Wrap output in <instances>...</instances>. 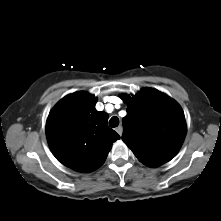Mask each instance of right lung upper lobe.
<instances>
[{
    "label": "right lung upper lobe",
    "mask_w": 221,
    "mask_h": 221,
    "mask_svg": "<svg viewBox=\"0 0 221 221\" xmlns=\"http://www.w3.org/2000/svg\"><path fill=\"white\" fill-rule=\"evenodd\" d=\"M96 103L95 96L75 92L60 100L47 119L46 136L53 154L78 172L99 168L120 138L108 127V114L95 109Z\"/></svg>",
    "instance_id": "right-lung-upper-lobe-1"
}]
</instances>
